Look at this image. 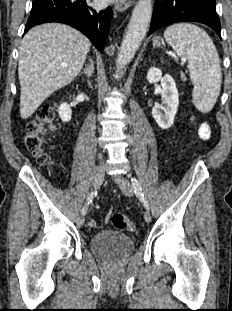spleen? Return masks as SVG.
Returning <instances> with one entry per match:
<instances>
[{
  "instance_id": "spleen-1",
  "label": "spleen",
  "mask_w": 232,
  "mask_h": 311,
  "mask_svg": "<svg viewBox=\"0 0 232 311\" xmlns=\"http://www.w3.org/2000/svg\"><path fill=\"white\" fill-rule=\"evenodd\" d=\"M164 38L181 59L188 61L195 107L202 113L210 112L222 81L220 59L213 41L203 29L191 23L171 25L165 30Z\"/></svg>"
}]
</instances>
